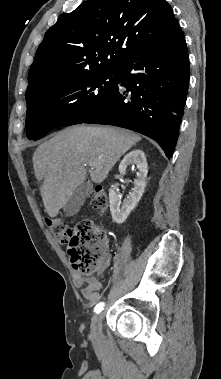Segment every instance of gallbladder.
<instances>
[{"label":"gallbladder","instance_id":"1","mask_svg":"<svg viewBox=\"0 0 221 379\" xmlns=\"http://www.w3.org/2000/svg\"><path fill=\"white\" fill-rule=\"evenodd\" d=\"M90 193L89 182H84L79 185L73 192L71 198L64 206V213L66 216L76 215L84 204L85 198Z\"/></svg>","mask_w":221,"mask_h":379}]
</instances>
